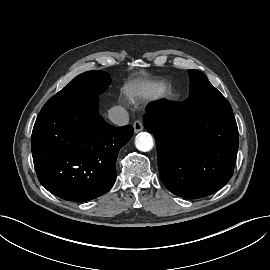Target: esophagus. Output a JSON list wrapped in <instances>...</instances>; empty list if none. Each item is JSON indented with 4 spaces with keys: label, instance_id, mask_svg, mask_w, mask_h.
Instances as JSON below:
<instances>
[{
    "label": "esophagus",
    "instance_id": "obj_1",
    "mask_svg": "<svg viewBox=\"0 0 270 270\" xmlns=\"http://www.w3.org/2000/svg\"><path fill=\"white\" fill-rule=\"evenodd\" d=\"M133 129H134V133H138L140 131L143 130V124L141 121L139 120H136L134 123H133Z\"/></svg>",
    "mask_w": 270,
    "mask_h": 270
}]
</instances>
